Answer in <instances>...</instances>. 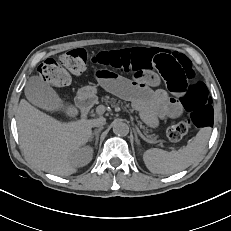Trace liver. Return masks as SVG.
Wrapping results in <instances>:
<instances>
[{"instance_id": "1", "label": "liver", "mask_w": 231, "mask_h": 231, "mask_svg": "<svg viewBox=\"0 0 231 231\" xmlns=\"http://www.w3.org/2000/svg\"><path fill=\"white\" fill-rule=\"evenodd\" d=\"M16 120L21 148L33 164L58 176L76 172L74 156L90 141L93 120L64 123L25 99L19 103Z\"/></svg>"}]
</instances>
